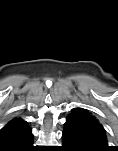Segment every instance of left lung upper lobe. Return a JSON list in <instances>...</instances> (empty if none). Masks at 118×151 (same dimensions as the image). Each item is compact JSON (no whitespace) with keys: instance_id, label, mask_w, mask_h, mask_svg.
<instances>
[{"instance_id":"left-lung-upper-lobe-1","label":"left lung upper lobe","mask_w":118,"mask_h":151,"mask_svg":"<svg viewBox=\"0 0 118 151\" xmlns=\"http://www.w3.org/2000/svg\"><path fill=\"white\" fill-rule=\"evenodd\" d=\"M64 130L79 136L92 151H108L111 148L103 126L86 109L74 108L66 119Z\"/></svg>"}]
</instances>
